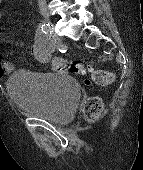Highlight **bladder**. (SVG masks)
Here are the masks:
<instances>
[{
    "label": "bladder",
    "instance_id": "31cf9c89",
    "mask_svg": "<svg viewBox=\"0 0 143 170\" xmlns=\"http://www.w3.org/2000/svg\"><path fill=\"white\" fill-rule=\"evenodd\" d=\"M6 90L20 112L53 123L72 120L80 100L76 80L64 72L20 69L9 76Z\"/></svg>",
    "mask_w": 143,
    "mask_h": 170
}]
</instances>
